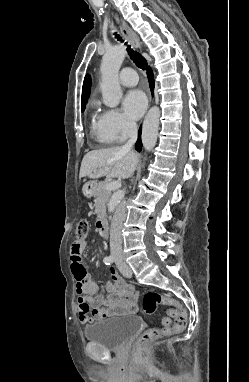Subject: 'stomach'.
I'll list each match as a JSON object with an SVG mask.
<instances>
[{
  "label": "stomach",
  "instance_id": "0dacf381",
  "mask_svg": "<svg viewBox=\"0 0 249 382\" xmlns=\"http://www.w3.org/2000/svg\"><path fill=\"white\" fill-rule=\"evenodd\" d=\"M95 189H96V183L93 182L92 180H89L84 186H83V194L86 196V197H92L95 193Z\"/></svg>",
  "mask_w": 249,
  "mask_h": 382
}]
</instances>
